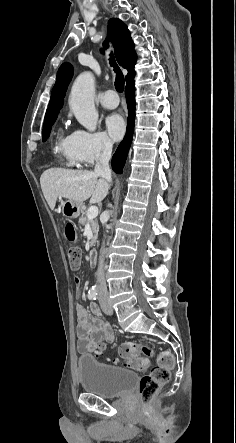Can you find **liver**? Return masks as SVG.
<instances>
[{
	"label": "liver",
	"instance_id": "liver-1",
	"mask_svg": "<svg viewBox=\"0 0 236 443\" xmlns=\"http://www.w3.org/2000/svg\"><path fill=\"white\" fill-rule=\"evenodd\" d=\"M40 184L51 210H54L58 197L78 203L90 198L91 203H99L109 190L104 178L88 170L50 168L42 173Z\"/></svg>",
	"mask_w": 236,
	"mask_h": 443
}]
</instances>
